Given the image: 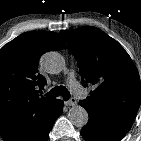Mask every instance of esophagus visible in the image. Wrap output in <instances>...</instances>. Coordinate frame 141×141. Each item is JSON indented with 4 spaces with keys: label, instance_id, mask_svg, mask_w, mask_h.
Returning <instances> with one entry per match:
<instances>
[{
    "label": "esophagus",
    "instance_id": "esophagus-1",
    "mask_svg": "<svg viewBox=\"0 0 141 141\" xmlns=\"http://www.w3.org/2000/svg\"><path fill=\"white\" fill-rule=\"evenodd\" d=\"M65 104L67 106H75L77 104V100L74 97H72L67 102H65Z\"/></svg>",
    "mask_w": 141,
    "mask_h": 141
}]
</instances>
